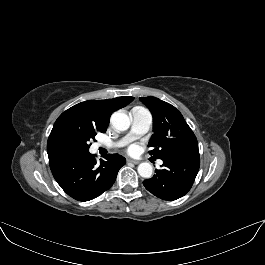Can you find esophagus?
Masks as SVG:
<instances>
[{
    "instance_id": "34e87169",
    "label": "esophagus",
    "mask_w": 265,
    "mask_h": 265,
    "mask_svg": "<svg viewBox=\"0 0 265 265\" xmlns=\"http://www.w3.org/2000/svg\"><path fill=\"white\" fill-rule=\"evenodd\" d=\"M128 162L133 163V164H139V161L129 159Z\"/></svg>"
}]
</instances>
